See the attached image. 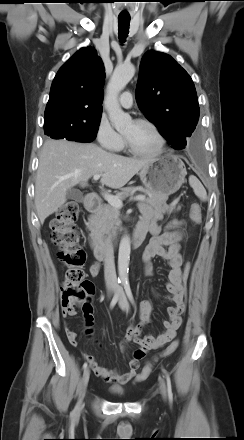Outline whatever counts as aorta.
<instances>
[{
	"instance_id": "aorta-1",
	"label": "aorta",
	"mask_w": 244,
	"mask_h": 440,
	"mask_svg": "<svg viewBox=\"0 0 244 440\" xmlns=\"http://www.w3.org/2000/svg\"><path fill=\"white\" fill-rule=\"evenodd\" d=\"M135 74V67L131 64L119 65L114 69L110 82L107 86L105 108L109 119L117 131H122L130 123L131 117L121 109L118 96ZM130 238L124 236L119 245L118 272L121 281L128 280L130 261Z\"/></svg>"
}]
</instances>
